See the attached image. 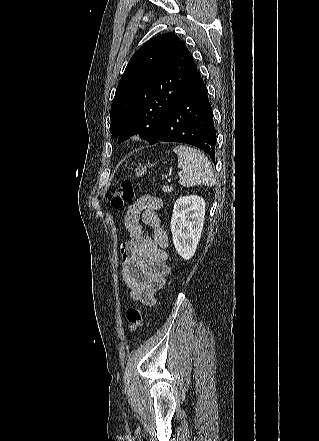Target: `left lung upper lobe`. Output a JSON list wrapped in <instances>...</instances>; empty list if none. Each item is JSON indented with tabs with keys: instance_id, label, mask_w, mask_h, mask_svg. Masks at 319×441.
Listing matches in <instances>:
<instances>
[{
	"instance_id": "1",
	"label": "left lung upper lobe",
	"mask_w": 319,
	"mask_h": 441,
	"mask_svg": "<svg viewBox=\"0 0 319 441\" xmlns=\"http://www.w3.org/2000/svg\"><path fill=\"white\" fill-rule=\"evenodd\" d=\"M193 56L175 33L158 35L131 57L111 106L112 137L140 133L149 143L196 73Z\"/></svg>"
}]
</instances>
